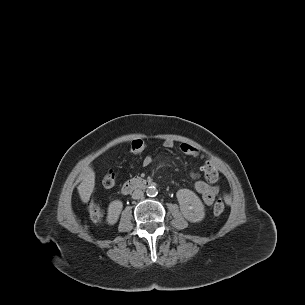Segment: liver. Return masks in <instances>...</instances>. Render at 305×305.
I'll return each mask as SVG.
<instances>
[{"mask_svg":"<svg viewBox=\"0 0 305 305\" xmlns=\"http://www.w3.org/2000/svg\"><path fill=\"white\" fill-rule=\"evenodd\" d=\"M95 186V173L93 169L86 166L83 170V180L78 186V193L82 202L87 203L94 190Z\"/></svg>","mask_w":305,"mask_h":305,"instance_id":"1","label":"liver"}]
</instances>
